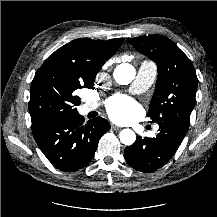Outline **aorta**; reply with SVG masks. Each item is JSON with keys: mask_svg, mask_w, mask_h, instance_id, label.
Returning <instances> with one entry per match:
<instances>
[{"mask_svg": "<svg viewBox=\"0 0 217 217\" xmlns=\"http://www.w3.org/2000/svg\"><path fill=\"white\" fill-rule=\"evenodd\" d=\"M135 74V68L131 64L122 63L115 68L113 76L118 84L127 85L132 82ZM119 138L121 143L129 146L135 142L136 135L131 129H123L119 134Z\"/></svg>", "mask_w": 217, "mask_h": 217, "instance_id": "aorta-1", "label": "aorta"}]
</instances>
